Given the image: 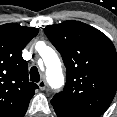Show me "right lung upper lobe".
Here are the masks:
<instances>
[{
    "label": "right lung upper lobe",
    "mask_w": 117,
    "mask_h": 117,
    "mask_svg": "<svg viewBox=\"0 0 117 117\" xmlns=\"http://www.w3.org/2000/svg\"><path fill=\"white\" fill-rule=\"evenodd\" d=\"M38 28L15 23L0 26V117H23L38 85L29 82L22 50Z\"/></svg>",
    "instance_id": "cb5924a9"
}]
</instances>
